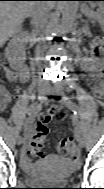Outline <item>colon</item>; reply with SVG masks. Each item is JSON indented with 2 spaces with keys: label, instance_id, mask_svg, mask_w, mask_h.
I'll list each match as a JSON object with an SVG mask.
<instances>
[{
  "label": "colon",
  "instance_id": "5ec220e1",
  "mask_svg": "<svg viewBox=\"0 0 104 189\" xmlns=\"http://www.w3.org/2000/svg\"><path fill=\"white\" fill-rule=\"evenodd\" d=\"M92 51L93 55L95 58H99L102 55L103 52V42L101 38H96L92 44ZM95 75H98L100 77L101 75V69L100 70H95L94 72ZM58 111L57 106L53 105L49 112L46 114H43L40 118L37 132L34 135L31 144L29 146V155H32L33 157H36L40 154L43 145L45 143L46 137L49 133V128H48V122L50 117L55 114ZM58 152L62 156H69L72 159L77 158V147L74 141L70 139H63L60 141L58 144Z\"/></svg>",
  "mask_w": 104,
  "mask_h": 189
}]
</instances>
